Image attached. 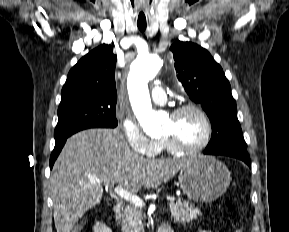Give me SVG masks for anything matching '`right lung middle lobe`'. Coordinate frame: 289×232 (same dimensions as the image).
<instances>
[{
  "label": "right lung middle lobe",
  "instance_id": "right-lung-middle-lobe-1",
  "mask_svg": "<svg viewBox=\"0 0 289 232\" xmlns=\"http://www.w3.org/2000/svg\"><path fill=\"white\" fill-rule=\"evenodd\" d=\"M116 100L102 96L81 97L60 103L55 141L88 128H114Z\"/></svg>",
  "mask_w": 289,
  "mask_h": 232
}]
</instances>
